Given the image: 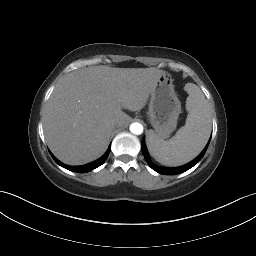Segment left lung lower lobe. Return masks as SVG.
<instances>
[{
  "instance_id": "left-lung-lower-lobe-1",
  "label": "left lung lower lobe",
  "mask_w": 256,
  "mask_h": 256,
  "mask_svg": "<svg viewBox=\"0 0 256 256\" xmlns=\"http://www.w3.org/2000/svg\"><path fill=\"white\" fill-rule=\"evenodd\" d=\"M209 142L206 145V147L204 148V150L193 161L189 162L186 165H183V166H180V167H176V168H165V167H159V166L155 165L150 160L149 153L147 151L144 139H142V142H141V149H142V153H143L147 163L149 164V166L153 170H155L156 172H158L160 174L176 175V174L182 173V172L192 168L194 165H196L202 159V157L204 156V154H205V152L207 150V147L209 145Z\"/></svg>"
}]
</instances>
